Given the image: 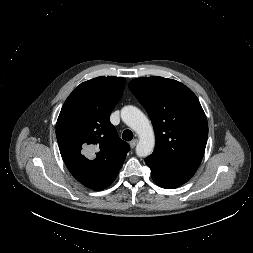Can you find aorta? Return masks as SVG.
Here are the masks:
<instances>
[{
  "mask_svg": "<svg viewBox=\"0 0 253 253\" xmlns=\"http://www.w3.org/2000/svg\"><path fill=\"white\" fill-rule=\"evenodd\" d=\"M122 121L133 129L138 137L139 142L136 146V154L138 157L149 156L154 149L155 135L145 114L135 106L128 105L121 110Z\"/></svg>",
  "mask_w": 253,
  "mask_h": 253,
  "instance_id": "762f6f07",
  "label": "aorta"
}]
</instances>
